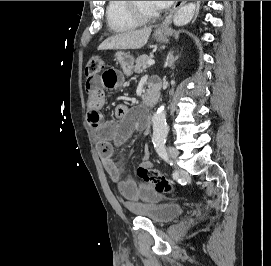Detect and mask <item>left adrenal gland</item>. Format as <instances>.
Instances as JSON below:
<instances>
[{"instance_id": "obj_1", "label": "left adrenal gland", "mask_w": 271, "mask_h": 266, "mask_svg": "<svg viewBox=\"0 0 271 266\" xmlns=\"http://www.w3.org/2000/svg\"><path fill=\"white\" fill-rule=\"evenodd\" d=\"M177 59H178V56L174 57L173 51H171V52L168 54L166 64H167L168 66H172V65L175 63V61H176Z\"/></svg>"}]
</instances>
